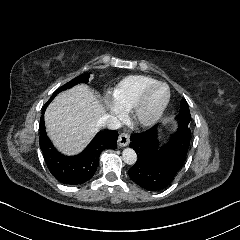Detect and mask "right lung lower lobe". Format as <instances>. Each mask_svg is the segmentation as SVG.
Segmentation results:
<instances>
[{
    "label": "right lung lower lobe",
    "instance_id": "obj_1",
    "mask_svg": "<svg viewBox=\"0 0 240 240\" xmlns=\"http://www.w3.org/2000/svg\"><path fill=\"white\" fill-rule=\"evenodd\" d=\"M44 112L40 118L39 143L46 165L51 174L67 185L83 184L90 180L99 165V157L106 149H116L118 132L106 130L99 132L84 151L75 156H64L58 152L47 137Z\"/></svg>",
    "mask_w": 240,
    "mask_h": 240
}]
</instances>
